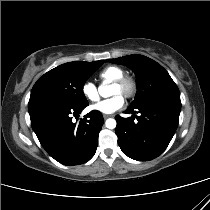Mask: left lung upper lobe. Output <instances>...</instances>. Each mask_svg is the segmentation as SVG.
I'll use <instances>...</instances> for the list:
<instances>
[{
  "label": "left lung upper lobe",
  "mask_w": 210,
  "mask_h": 210,
  "mask_svg": "<svg viewBox=\"0 0 210 210\" xmlns=\"http://www.w3.org/2000/svg\"><path fill=\"white\" fill-rule=\"evenodd\" d=\"M107 61L130 67L136 75L137 92L130 107L161 97H179L180 93L168 72L154 60L142 55H128Z\"/></svg>",
  "instance_id": "5c2ea615"
}]
</instances>
